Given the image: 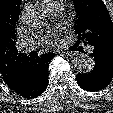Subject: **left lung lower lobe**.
Listing matches in <instances>:
<instances>
[{
  "label": "left lung lower lobe",
  "instance_id": "left-lung-lower-lobe-1",
  "mask_svg": "<svg viewBox=\"0 0 113 113\" xmlns=\"http://www.w3.org/2000/svg\"><path fill=\"white\" fill-rule=\"evenodd\" d=\"M95 66L85 74H77L78 85L87 91H99L107 87L113 79V49L100 43H92Z\"/></svg>",
  "mask_w": 113,
  "mask_h": 113
}]
</instances>
